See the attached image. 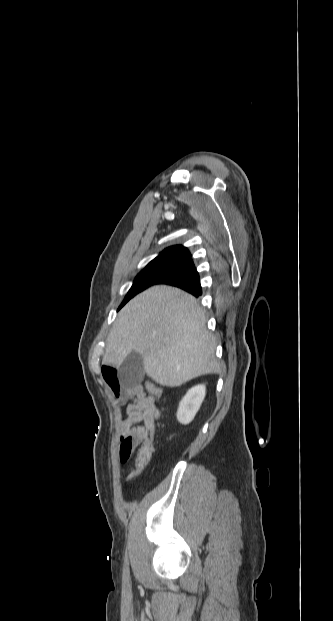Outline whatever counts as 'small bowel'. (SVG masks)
<instances>
[{
    "instance_id": "c3829d8e",
    "label": "small bowel",
    "mask_w": 333,
    "mask_h": 621,
    "mask_svg": "<svg viewBox=\"0 0 333 621\" xmlns=\"http://www.w3.org/2000/svg\"><path fill=\"white\" fill-rule=\"evenodd\" d=\"M102 376L116 402L126 405L127 417L121 424L119 445V459L125 463L143 438L155 434L160 409L149 383L125 385L117 369L108 364L102 366Z\"/></svg>"
}]
</instances>
